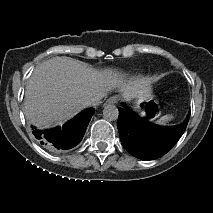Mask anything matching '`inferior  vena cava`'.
Segmentation results:
<instances>
[{
	"label": "inferior vena cava",
	"mask_w": 213,
	"mask_h": 213,
	"mask_svg": "<svg viewBox=\"0 0 213 213\" xmlns=\"http://www.w3.org/2000/svg\"><path fill=\"white\" fill-rule=\"evenodd\" d=\"M106 96L105 93H100L95 96H92L88 100H86V105L88 106H97L101 103L102 99Z\"/></svg>",
	"instance_id": "602c4592"
}]
</instances>
